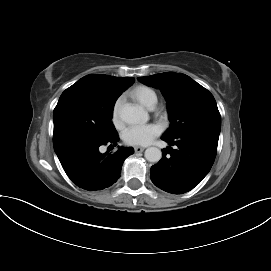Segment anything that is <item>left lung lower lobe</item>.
Wrapping results in <instances>:
<instances>
[{
    "mask_svg": "<svg viewBox=\"0 0 271 271\" xmlns=\"http://www.w3.org/2000/svg\"><path fill=\"white\" fill-rule=\"evenodd\" d=\"M162 139L178 148L164 149L162 159L151 167V180L166 192L186 193L210 171L217 152L219 133L200 131ZM167 153L170 155L166 156Z\"/></svg>",
    "mask_w": 271,
    "mask_h": 271,
    "instance_id": "1",
    "label": "left lung lower lobe"
}]
</instances>
